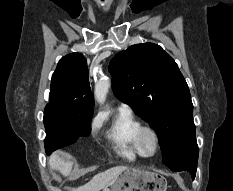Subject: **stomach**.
Wrapping results in <instances>:
<instances>
[{"label":"stomach","instance_id":"1","mask_svg":"<svg viewBox=\"0 0 233 191\" xmlns=\"http://www.w3.org/2000/svg\"><path fill=\"white\" fill-rule=\"evenodd\" d=\"M166 179L149 170L127 167L103 191H166Z\"/></svg>","mask_w":233,"mask_h":191}]
</instances>
